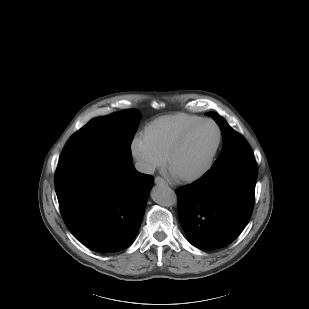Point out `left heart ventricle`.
<instances>
[{
    "label": "left heart ventricle",
    "instance_id": "obj_1",
    "mask_svg": "<svg viewBox=\"0 0 309 309\" xmlns=\"http://www.w3.org/2000/svg\"><path fill=\"white\" fill-rule=\"evenodd\" d=\"M218 140L217 128L210 123L199 126L172 158L169 169L176 175H191L209 162Z\"/></svg>",
    "mask_w": 309,
    "mask_h": 309
}]
</instances>
